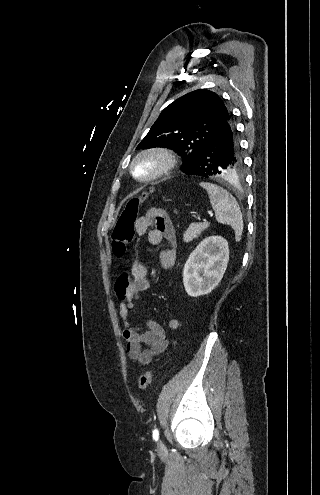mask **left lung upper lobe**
I'll list each match as a JSON object with an SVG mask.
<instances>
[{
	"mask_svg": "<svg viewBox=\"0 0 320 495\" xmlns=\"http://www.w3.org/2000/svg\"><path fill=\"white\" fill-rule=\"evenodd\" d=\"M230 118L223 100L214 92L199 89L168 105L137 149L173 148L183 161L182 170L191 166L198 153ZM242 168V160L238 171ZM227 169L219 177H230Z\"/></svg>",
	"mask_w": 320,
	"mask_h": 495,
	"instance_id": "1",
	"label": "left lung upper lobe"
}]
</instances>
